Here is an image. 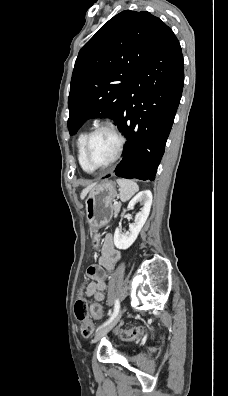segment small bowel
I'll list each match as a JSON object with an SVG mask.
<instances>
[{"mask_svg": "<svg viewBox=\"0 0 228 396\" xmlns=\"http://www.w3.org/2000/svg\"><path fill=\"white\" fill-rule=\"evenodd\" d=\"M120 258V252L115 248L112 236L107 234L103 240L98 263L90 265L86 270L87 277L92 280L85 291L87 297H92L98 302L104 301V291L107 287L106 277Z\"/></svg>", "mask_w": 228, "mask_h": 396, "instance_id": "c3829d8e", "label": "small bowel"}]
</instances>
